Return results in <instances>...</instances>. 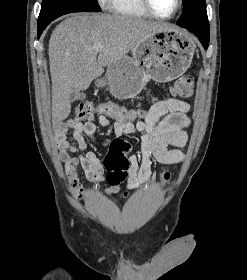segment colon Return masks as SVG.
Returning <instances> with one entry per match:
<instances>
[{"mask_svg": "<svg viewBox=\"0 0 247 280\" xmlns=\"http://www.w3.org/2000/svg\"><path fill=\"white\" fill-rule=\"evenodd\" d=\"M194 90L193 79L190 75L180 77L171 89L174 96L187 98ZM104 114L118 121L134 123L143 116L141 111L127 109L112 102L94 105L92 102H83L74 109L75 121L92 120L96 115ZM132 146L123 139H114L110 143L109 152L105 156L103 166L106 171V180L110 191H117L128 176L130 161L128 155L132 153ZM163 180L169 179V173L161 174Z\"/></svg>", "mask_w": 247, "mask_h": 280, "instance_id": "obj_1", "label": "colon"}]
</instances>
